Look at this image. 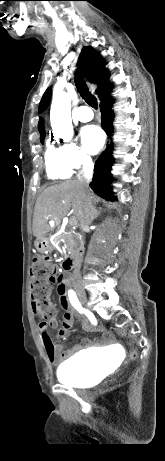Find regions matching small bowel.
Segmentation results:
<instances>
[{
  "instance_id": "c3829d8e",
  "label": "small bowel",
  "mask_w": 165,
  "mask_h": 461,
  "mask_svg": "<svg viewBox=\"0 0 165 461\" xmlns=\"http://www.w3.org/2000/svg\"><path fill=\"white\" fill-rule=\"evenodd\" d=\"M65 276H66V273L64 271L57 272V284H56V289L58 290L57 298L60 299V304L65 311L63 315L62 323L60 327L58 328V337H61V338L66 337L69 334L70 329L73 325V320H74L73 307L71 305L72 303L69 301L68 299L69 294H68V291H66L67 279ZM32 310L35 315L43 318V320L39 324V331L42 334V336L44 335L47 329L56 328L58 326V321H57L55 313H53L51 317H45L37 309L34 303H32ZM83 325L86 330H92V326L89 323L84 322ZM97 343L98 341L96 339L85 338L80 343L75 345L74 347L63 350L59 345H56L53 342L49 343L46 340V337H43V345H44L47 357L52 364H58L61 361H64L70 358L71 356H73L80 349L89 347L90 345L97 344Z\"/></svg>"
}]
</instances>
